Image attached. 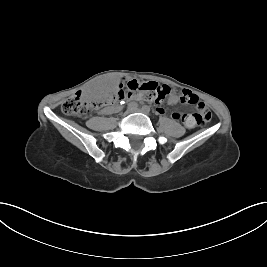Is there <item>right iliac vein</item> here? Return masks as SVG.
<instances>
[{
	"label": "right iliac vein",
	"mask_w": 267,
	"mask_h": 267,
	"mask_svg": "<svg viewBox=\"0 0 267 267\" xmlns=\"http://www.w3.org/2000/svg\"><path fill=\"white\" fill-rule=\"evenodd\" d=\"M130 113V111L129 110H127L126 112H124V116H127L128 114Z\"/></svg>",
	"instance_id": "63e3f726"
}]
</instances>
